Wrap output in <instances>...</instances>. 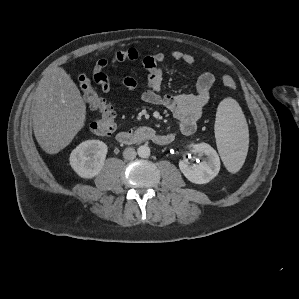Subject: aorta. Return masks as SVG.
Listing matches in <instances>:
<instances>
[{"instance_id": "1", "label": "aorta", "mask_w": 299, "mask_h": 299, "mask_svg": "<svg viewBox=\"0 0 299 299\" xmlns=\"http://www.w3.org/2000/svg\"><path fill=\"white\" fill-rule=\"evenodd\" d=\"M137 153L141 158H147L150 155V148L148 145H141L137 149Z\"/></svg>"}]
</instances>
